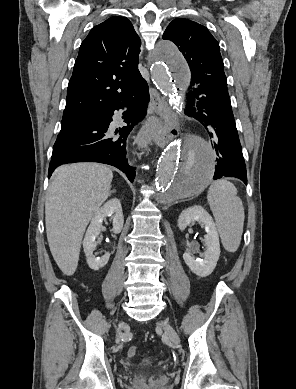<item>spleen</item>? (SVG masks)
<instances>
[{
  "instance_id": "1",
  "label": "spleen",
  "mask_w": 296,
  "mask_h": 389,
  "mask_svg": "<svg viewBox=\"0 0 296 389\" xmlns=\"http://www.w3.org/2000/svg\"><path fill=\"white\" fill-rule=\"evenodd\" d=\"M207 200L224 248L235 252L241 242L245 217L236 187L225 179L215 181L208 189Z\"/></svg>"
}]
</instances>
